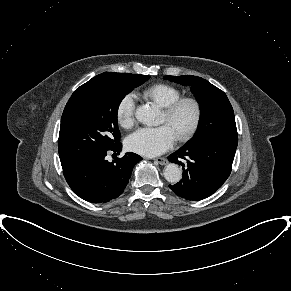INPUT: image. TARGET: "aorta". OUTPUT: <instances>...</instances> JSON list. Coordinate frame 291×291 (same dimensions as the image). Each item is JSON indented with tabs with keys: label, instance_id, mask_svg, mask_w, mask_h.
<instances>
[{
	"label": "aorta",
	"instance_id": "aorta-1",
	"mask_svg": "<svg viewBox=\"0 0 291 291\" xmlns=\"http://www.w3.org/2000/svg\"><path fill=\"white\" fill-rule=\"evenodd\" d=\"M159 109L154 105H141L136 109V119L146 125L154 126L158 124ZM164 177L170 183H178L182 178L181 169L177 164L169 163L164 169Z\"/></svg>",
	"mask_w": 291,
	"mask_h": 291
}]
</instances>
